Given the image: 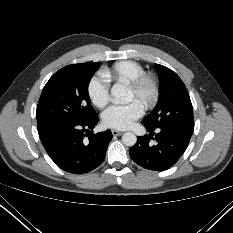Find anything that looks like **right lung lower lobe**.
I'll return each mask as SVG.
<instances>
[{
  "mask_svg": "<svg viewBox=\"0 0 233 233\" xmlns=\"http://www.w3.org/2000/svg\"><path fill=\"white\" fill-rule=\"evenodd\" d=\"M97 115L84 122L50 123L38 129L40 140L50 158L62 170L83 174L104 160L112 139L110 130L94 134ZM86 136L88 138H86Z\"/></svg>",
  "mask_w": 233,
  "mask_h": 233,
  "instance_id": "obj_1",
  "label": "right lung lower lobe"
}]
</instances>
